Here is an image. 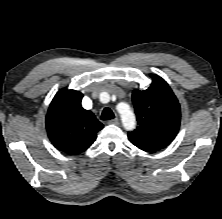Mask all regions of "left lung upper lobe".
<instances>
[{"label": "left lung upper lobe", "mask_w": 222, "mask_h": 219, "mask_svg": "<svg viewBox=\"0 0 222 219\" xmlns=\"http://www.w3.org/2000/svg\"><path fill=\"white\" fill-rule=\"evenodd\" d=\"M151 77L153 83L148 89H135L132 93L138 127L128 132L131 143L148 152L169 145L179 130L181 119L178 100L169 85L155 74Z\"/></svg>", "instance_id": "left-lung-upper-lobe-1"}]
</instances>
